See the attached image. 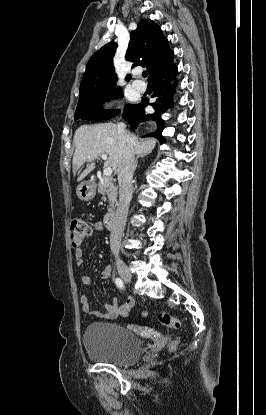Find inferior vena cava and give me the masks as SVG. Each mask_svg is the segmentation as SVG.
Listing matches in <instances>:
<instances>
[{
  "label": "inferior vena cava",
  "mask_w": 266,
  "mask_h": 415,
  "mask_svg": "<svg viewBox=\"0 0 266 415\" xmlns=\"http://www.w3.org/2000/svg\"><path fill=\"white\" fill-rule=\"evenodd\" d=\"M117 133L121 150L117 169L119 201L110 234V248L116 256L119 254L126 217L132 197V178L135 163L132 139L127 134L126 125L124 123L120 122L117 124Z\"/></svg>",
  "instance_id": "inferior-vena-cava-1"
}]
</instances>
